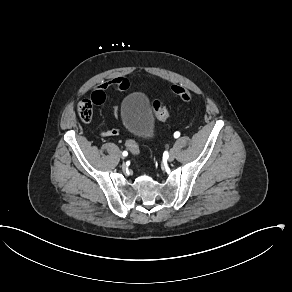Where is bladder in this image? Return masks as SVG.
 Instances as JSON below:
<instances>
[{
    "instance_id": "bladder-1",
    "label": "bladder",
    "mask_w": 292,
    "mask_h": 292,
    "mask_svg": "<svg viewBox=\"0 0 292 292\" xmlns=\"http://www.w3.org/2000/svg\"><path fill=\"white\" fill-rule=\"evenodd\" d=\"M121 119L124 127L135 137L149 138L153 135V118L142 93H133L124 100Z\"/></svg>"
}]
</instances>
